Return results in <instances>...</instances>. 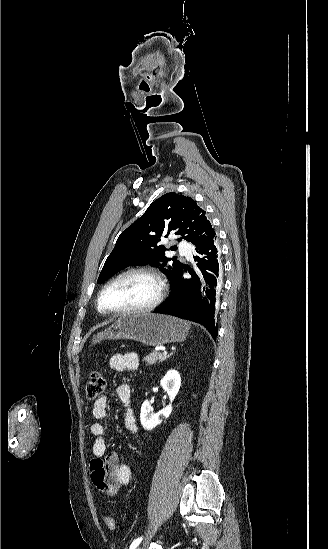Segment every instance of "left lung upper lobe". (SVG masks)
<instances>
[{
  "mask_svg": "<svg viewBox=\"0 0 328 549\" xmlns=\"http://www.w3.org/2000/svg\"><path fill=\"white\" fill-rule=\"evenodd\" d=\"M205 213L190 197L175 192L161 196L120 234L105 261L98 282L108 280L128 266L150 265L160 266V271L173 284L182 273L183 264L174 257H165L167 249L160 245V237L162 234L165 237L173 234L178 237V241L185 239L196 249L199 248L215 237V231Z\"/></svg>",
  "mask_w": 328,
  "mask_h": 549,
  "instance_id": "5c2ea615",
  "label": "left lung upper lobe"
}]
</instances>
